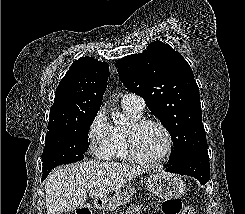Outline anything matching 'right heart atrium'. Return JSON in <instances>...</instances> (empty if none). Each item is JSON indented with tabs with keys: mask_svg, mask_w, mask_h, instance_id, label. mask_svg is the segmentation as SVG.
Listing matches in <instances>:
<instances>
[{
	"mask_svg": "<svg viewBox=\"0 0 245 214\" xmlns=\"http://www.w3.org/2000/svg\"><path fill=\"white\" fill-rule=\"evenodd\" d=\"M88 138L93 154L99 159H109L113 148V126L109 123L106 112L101 109L93 117Z\"/></svg>",
	"mask_w": 245,
	"mask_h": 214,
	"instance_id": "1",
	"label": "right heart atrium"
}]
</instances>
